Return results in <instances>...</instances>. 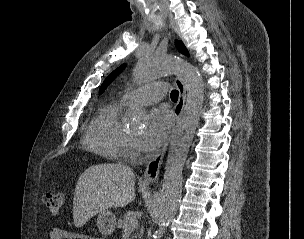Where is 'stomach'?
<instances>
[{
  "label": "stomach",
  "instance_id": "stomach-1",
  "mask_svg": "<svg viewBox=\"0 0 304 239\" xmlns=\"http://www.w3.org/2000/svg\"><path fill=\"white\" fill-rule=\"evenodd\" d=\"M97 227L103 235H110L116 227V217L108 210H102L98 213Z\"/></svg>",
  "mask_w": 304,
  "mask_h": 239
}]
</instances>
